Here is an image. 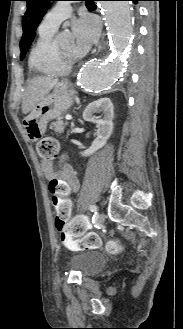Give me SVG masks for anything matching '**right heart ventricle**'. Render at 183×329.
Wrapping results in <instances>:
<instances>
[{"label":"right heart ventricle","mask_w":183,"mask_h":329,"mask_svg":"<svg viewBox=\"0 0 183 329\" xmlns=\"http://www.w3.org/2000/svg\"><path fill=\"white\" fill-rule=\"evenodd\" d=\"M54 32H42L31 48L29 68L41 75L56 76L64 74L57 63V47L53 42Z\"/></svg>","instance_id":"1"}]
</instances>
